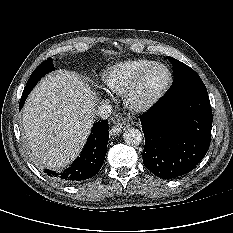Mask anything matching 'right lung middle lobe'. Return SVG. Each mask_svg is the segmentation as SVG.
I'll return each mask as SVG.
<instances>
[{
	"instance_id": "right-lung-middle-lobe-1",
	"label": "right lung middle lobe",
	"mask_w": 233,
	"mask_h": 233,
	"mask_svg": "<svg viewBox=\"0 0 233 233\" xmlns=\"http://www.w3.org/2000/svg\"><path fill=\"white\" fill-rule=\"evenodd\" d=\"M54 66L52 63V59L48 58L47 60L43 61L32 73L30 76L27 84L26 89H33V87L37 84V82L48 72L53 71Z\"/></svg>"
}]
</instances>
